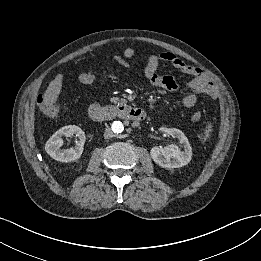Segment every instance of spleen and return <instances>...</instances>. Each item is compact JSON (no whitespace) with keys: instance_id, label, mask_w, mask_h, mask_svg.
I'll use <instances>...</instances> for the list:
<instances>
[{"instance_id":"1","label":"spleen","mask_w":261,"mask_h":261,"mask_svg":"<svg viewBox=\"0 0 261 261\" xmlns=\"http://www.w3.org/2000/svg\"><path fill=\"white\" fill-rule=\"evenodd\" d=\"M212 132V125L211 123H208L207 127L205 128V131H204V140L208 139L210 134Z\"/></svg>"}]
</instances>
